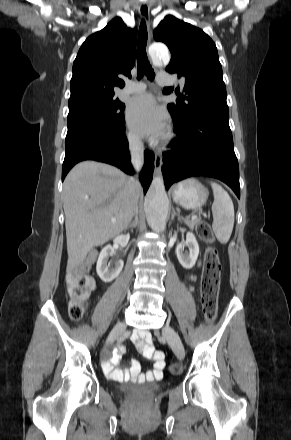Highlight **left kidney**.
<instances>
[{"instance_id": "5707ae66", "label": "left kidney", "mask_w": 291, "mask_h": 440, "mask_svg": "<svg viewBox=\"0 0 291 440\" xmlns=\"http://www.w3.org/2000/svg\"><path fill=\"white\" fill-rule=\"evenodd\" d=\"M185 247L188 248V251L185 250ZM176 254L183 268L191 269L195 265L199 255V245L192 232L187 233L186 241L177 245Z\"/></svg>"}]
</instances>
